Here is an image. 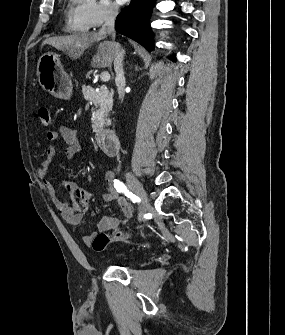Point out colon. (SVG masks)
<instances>
[{
    "mask_svg": "<svg viewBox=\"0 0 285 335\" xmlns=\"http://www.w3.org/2000/svg\"><path fill=\"white\" fill-rule=\"evenodd\" d=\"M37 113L42 126L48 127L51 125V113L47 107H39ZM130 236L131 233L129 231L122 230L116 231L114 233H97L91 241V246L95 251L101 252L105 250L111 243L128 239Z\"/></svg>",
    "mask_w": 285,
    "mask_h": 335,
    "instance_id": "colon-1",
    "label": "colon"
}]
</instances>
